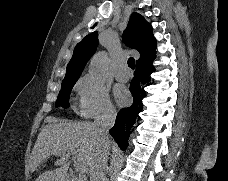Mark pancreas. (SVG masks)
I'll use <instances>...</instances> for the list:
<instances>
[{"mask_svg": "<svg viewBox=\"0 0 228 181\" xmlns=\"http://www.w3.org/2000/svg\"><path fill=\"white\" fill-rule=\"evenodd\" d=\"M77 181H86L87 177H79V173H78V177H76Z\"/></svg>", "mask_w": 228, "mask_h": 181, "instance_id": "cf45deb5", "label": "pancreas"}]
</instances>
